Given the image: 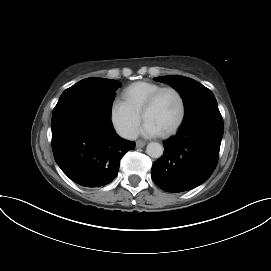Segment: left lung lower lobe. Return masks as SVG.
<instances>
[{"mask_svg": "<svg viewBox=\"0 0 271 271\" xmlns=\"http://www.w3.org/2000/svg\"><path fill=\"white\" fill-rule=\"evenodd\" d=\"M223 136L219 110L203 111L184 120L178 134L164 144L151 177L166 192H183L204 183L213 173Z\"/></svg>", "mask_w": 271, "mask_h": 271, "instance_id": "0a47b994", "label": "left lung lower lobe"}]
</instances>
